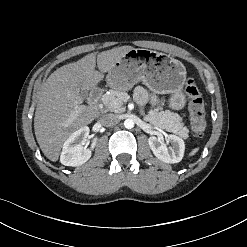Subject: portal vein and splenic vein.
I'll list each match as a JSON object with an SVG mask.
<instances>
[{
    "label": "portal vein and splenic vein",
    "mask_w": 247,
    "mask_h": 247,
    "mask_svg": "<svg viewBox=\"0 0 247 247\" xmlns=\"http://www.w3.org/2000/svg\"><path fill=\"white\" fill-rule=\"evenodd\" d=\"M114 104L116 105V104H117V102H116V101H114Z\"/></svg>",
    "instance_id": "1"
}]
</instances>
